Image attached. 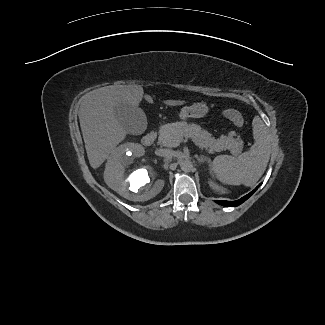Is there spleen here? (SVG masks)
Instances as JSON below:
<instances>
[{
  "label": "spleen",
  "instance_id": "1",
  "mask_svg": "<svg viewBox=\"0 0 325 325\" xmlns=\"http://www.w3.org/2000/svg\"><path fill=\"white\" fill-rule=\"evenodd\" d=\"M254 145L238 157L220 155L211 164V172L223 184L253 186L263 175L270 159L271 137L259 116L252 122Z\"/></svg>",
  "mask_w": 325,
  "mask_h": 325
}]
</instances>
